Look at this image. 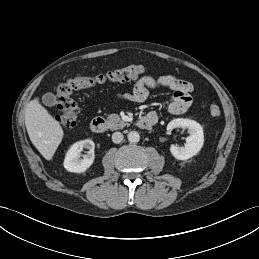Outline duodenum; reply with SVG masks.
<instances>
[{"label":"duodenum","instance_id":"1","mask_svg":"<svg viewBox=\"0 0 259 259\" xmlns=\"http://www.w3.org/2000/svg\"><path fill=\"white\" fill-rule=\"evenodd\" d=\"M157 118L155 116H144L139 118L137 124L140 128H148L155 124ZM91 130L95 133H102L107 129L106 120L103 117H95L91 121Z\"/></svg>","mask_w":259,"mask_h":259}]
</instances>
